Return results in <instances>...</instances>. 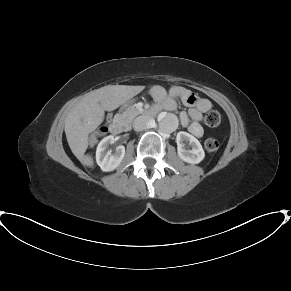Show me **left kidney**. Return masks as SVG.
<instances>
[{
    "instance_id": "1",
    "label": "left kidney",
    "mask_w": 291,
    "mask_h": 291,
    "mask_svg": "<svg viewBox=\"0 0 291 291\" xmlns=\"http://www.w3.org/2000/svg\"><path fill=\"white\" fill-rule=\"evenodd\" d=\"M176 143L178 156L184 162L198 164L204 159L205 152L202 145L193 135L180 131L176 136Z\"/></svg>"
}]
</instances>
